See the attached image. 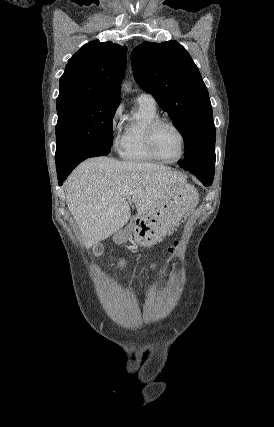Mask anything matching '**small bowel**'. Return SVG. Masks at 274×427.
Segmentation results:
<instances>
[{
	"mask_svg": "<svg viewBox=\"0 0 274 427\" xmlns=\"http://www.w3.org/2000/svg\"><path fill=\"white\" fill-rule=\"evenodd\" d=\"M168 249H169V251H171V252H172V251H173V252H176V251H178V249H179V248H178V246H176V245H173V246L171 245V246H169V248H168ZM167 258H168V260H170V261H171V260H173V258H174V257H173V255H171V254H170V255H168V257H167Z\"/></svg>",
	"mask_w": 274,
	"mask_h": 427,
	"instance_id": "small-bowel-1",
	"label": "small bowel"
}]
</instances>
